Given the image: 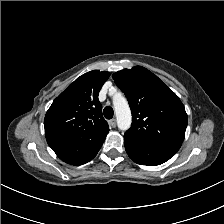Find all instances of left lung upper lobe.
<instances>
[{
    "label": "left lung upper lobe",
    "mask_w": 224,
    "mask_h": 224,
    "mask_svg": "<svg viewBox=\"0 0 224 224\" xmlns=\"http://www.w3.org/2000/svg\"><path fill=\"white\" fill-rule=\"evenodd\" d=\"M113 79L126 95L132 111V125L125 135L178 151L188 120L179 97L141 66L118 71Z\"/></svg>",
    "instance_id": "left-lung-upper-lobe-1"
}]
</instances>
